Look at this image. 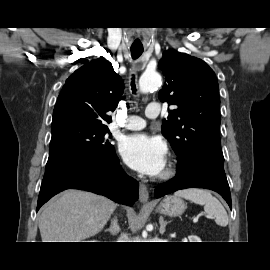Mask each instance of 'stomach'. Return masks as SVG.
<instances>
[{"label": "stomach", "instance_id": "obj_1", "mask_svg": "<svg viewBox=\"0 0 270 270\" xmlns=\"http://www.w3.org/2000/svg\"><path fill=\"white\" fill-rule=\"evenodd\" d=\"M185 209L184 201L176 196L165 197L156 208L159 213L171 217L182 215Z\"/></svg>", "mask_w": 270, "mask_h": 270}]
</instances>
